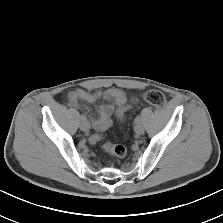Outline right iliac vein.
Returning <instances> with one entry per match:
<instances>
[{
  "mask_svg": "<svg viewBox=\"0 0 223 223\" xmlns=\"http://www.w3.org/2000/svg\"><path fill=\"white\" fill-rule=\"evenodd\" d=\"M80 129L82 131H85V132L89 131V129H90V123L88 122V120L84 119V120L81 121V123H80Z\"/></svg>",
  "mask_w": 223,
  "mask_h": 223,
  "instance_id": "1",
  "label": "right iliac vein"
}]
</instances>
